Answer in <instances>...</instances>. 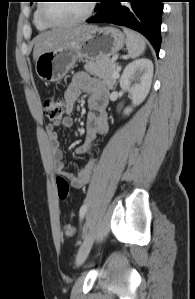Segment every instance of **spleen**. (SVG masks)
I'll list each match as a JSON object with an SVG mask.
<instances>
[{
	"label": "spleen",
	"instance_id": "obj_1",
	"mask_svg": "<svg viewBox=\"0 0 195 299\" xmlns=\"http://www.w3.org/2000/svg\"><path fill=\"white\" fill-rule=\"evenodd\" d=\"M127 37L126 46L128 49L129 56L133 59L139 57L146 49V41L140 34L124 29Z\"/></svg>",
	"mask_w": 195,
	"mask_h": 299
}]
</instances>
